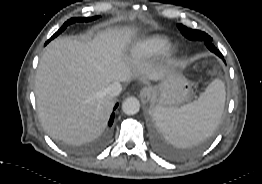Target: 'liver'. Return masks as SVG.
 <instances>
[{
    "mask_svg": "<svg viewBox=\"0 0 262 184\" xmlns=\"http://www.w3.org/2000/svg\"><path fill=\"white\" fill-rule=\"evenodd\" d=\"M136 35L134 28H107L92 40L58 38L43 53L36 73L35 95L39 118L53 139L82 144L105 129L114 98L105 89L133 74L158 81L165 69L148 64L132 67L124 52Z\"/></svg>",
    "mask_w": 262,
    "mask_h": 184,
    "instance_id": "obj_1",
    "label": "liver"
}]
</instances>
